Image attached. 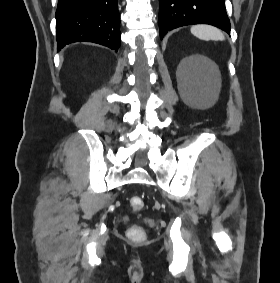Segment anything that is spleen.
Wrapping results in <instances>:
<instances>
[{
  "mask_svg": "<svg viewBox=\"0 0 280 283\" xmlns=\"http://www.w3.org/2000/svg\"><path fill=\"white\" fill-rule=\"evenodd\" d=\"M191 33L199 39L209 41H224V34L216 27L210 25H194L191 27Z\"/></svg>",
  "mask_w": 280,
  "mask_h": 283,
  "instance_id": "spleen-1",
  "label": "spleen"
}]
</instances>
